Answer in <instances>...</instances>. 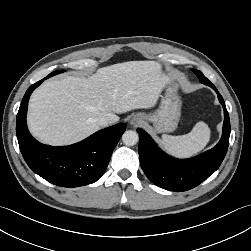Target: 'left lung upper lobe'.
Listing matches in <instances>:
<instances>
[{"instance_id": "left-lung-upper-lobe-1", "label": "left lung upper lobe", "mask_w": 251, "mask_h": 251, "mask_svg": "<svg viewBox=\"0 0 251 251\" xmlns=\"http://www.w3.org/2000/svg\"><path fill=\"white\" fill-rule=\"evenodd\" d=\"M193 72L197 75L202 83L209 82V80L200 71L193 69Z\"/></svg>"}]
</instances>
